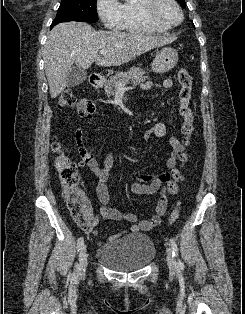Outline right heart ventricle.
<instances>
[{"instance_id":"e07e8e85","label":"right heart ventricle","mask_w":245,"mask_h":314,"mask_svg":"<svg viewBox=\"0 0 245 314\" xmlns=\"http://www.w3.org/2000/svg\"><path fill=\"white\" fill-rule=\"evenodd\" d=\"M149 0H131L120 4L119 29L131 33H165L170 28L148 19L143 6Z\"/></svg>"}]
</instances>
